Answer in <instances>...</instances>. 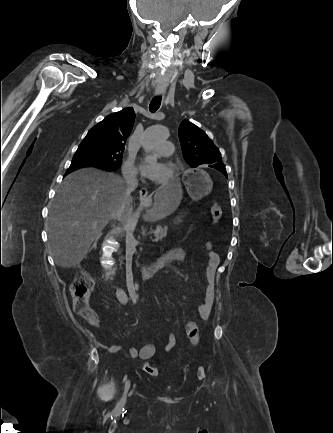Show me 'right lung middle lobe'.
<instances>
[{
  "mask_svg": "<svg viewBox=\"0 0 333 433\" xmlns=\"http://www.w3.org/2000/svg\"><path fill=\"white\" fill-rule=\"evenodd\" d=\"M124 149L102 148L90 141H82L72 162L97 163L116 170L122 163Z\"/></svg>",
  "mask_w": 333,
  "mask_h": 433,
  "instance_id": "right-lung-middle-lobe-1",
  "label": "right lung middle lobe"
}]
</instances>
